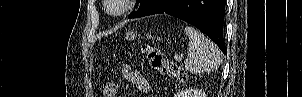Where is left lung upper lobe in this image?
<instances>
[{"label":"left lung upper lobe","mask_w":302,"mask_h":97,"mask_svg":"<svg viewBox=\"0 0 302 97\" xmlns=\"http://www.w3.org/2000/svg\"><path fill=\"white\" fill-rule=\"evenodd\" d=\"M151 0H137V2L140 3L139 9H143L146 7V5L150 2Z\"/></svg>","instance_id":"left-lung-upper-lobe-1"}]
</instances>
